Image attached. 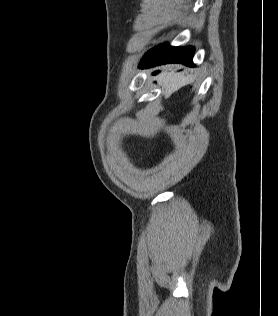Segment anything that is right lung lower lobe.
Masks as SVG:
<instances>
[{"label": "right lung lower lobe", "mask_w": 278, "mask_h": 316, "mask_svg": "<svg viewBox=\"0 0 278 316\" xmlns=\"http://www.w3.org/2000/svg\"><path fill=\"white\" fill-rule=\"evenodd\" d=\"M193 54L194 48L190 46L180 48L162 44L146 53L140 67L145 68L166 63H182L187 66H193Z\"/></svg>", "instance_id": "1"}]
</instances>
